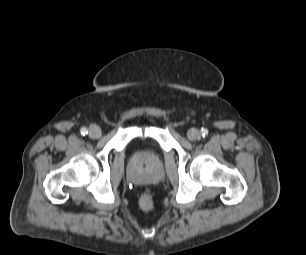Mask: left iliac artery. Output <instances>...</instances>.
<instances>
[{
    "mask_svg": "<svg viewBox=\"0 0 306 255\" xmlns=\"http://www.w3.org/2000/svg\"><path fill=\"white\" fill-rule=\"evenodd\" d=\"M201 135H202L203 137L207 136V135H208V130H207L206 128H202V129H201Z\"/></svg>",
    "mask_w": 306,
    "mask_h": 255,
    "instance_id": "obj_1",
    "label": "left iliac artery"
}]
</instances>
